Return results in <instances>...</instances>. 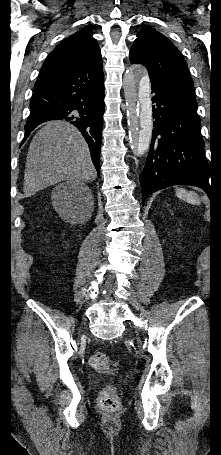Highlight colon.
Instances as JSON below:
<instances>
[{
  "label": "colon",
  "instance_id": "5ec220e1",
  "mask_svg": "<svg viewBox=\"0 0 221 455\" xmlns=\"http://www.w3.org/2000/svg\"><path fill=\"white\" fill-rule=\"evenodd\" d=\"M89 364L92 369L98 372L110 371L115 368L114 362L104 353H94L90 359ZM99 406L107 411H115L118 409L120 402L116 389L112 386H107L101 390L98 396Z\"/></svg>",
  "mask_w": 221,
  "mask_h": 455
}]
</instances>
